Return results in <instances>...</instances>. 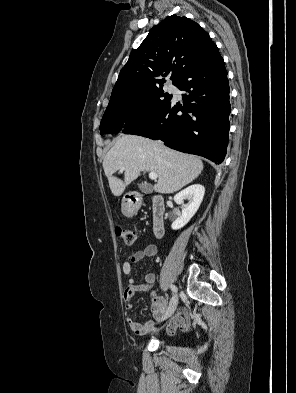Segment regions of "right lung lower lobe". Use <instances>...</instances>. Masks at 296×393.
<instances>
[{
    "mask_svg": "<svg viewBox=\"0 0 296 393\" xmlns=\"http://www.w3.org/2000/svg\"><path fill=\"white\" fill-rule=\"evenodd\" d=\"M174 85L185 92L183 107L170 100L154 116L122 132L161 140L175 150L221 163L227 152L231 106L227 71L216 45Z\"/></svg>",
    "mask_w": 296,
    "mask_h": 393,
    "instance_id": "obj_1",
    "label": "right lung lower lobe"
}]
</instances>
